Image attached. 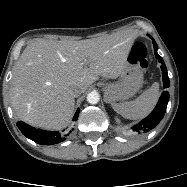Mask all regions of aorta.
<instances>
[{
  "mask_svg": "<svg viewBox=\"0 0 187 187\" xmlns=\"http://www.w3.org/2000/svg\"><path fill=\"white\" fill-rule=\"evenodd\" d=\"M100 96L97 92L92 91L87 95V101L90 104H97L99 102Z\"/></svg>",
  "mask_w": 187,
  "mask_h": 187,
  "instance_id": "aorta-1",
  "label": "aorta"
}]
</instances>
